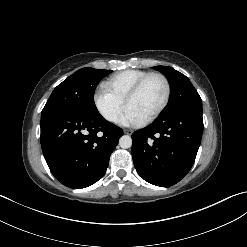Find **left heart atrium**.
Wrapping results in <instances>:
<instances>
[{
  "label": "left heart atrium",
  "instance_id": "obj_1",
  "mask_svg": "<svg viewBox=\"0 0 247 247\" xmlns=\"http://www.w3.org/2000/svg\"><path fill=\"white\" fill-rule=\"evenodd\" d=\"M144 120L139 113L127 106L119 122L125 126H138L143 124Z\"/></svg>",
  "mask_w": 247,
  "mask_h": 247
}]
</instances>
